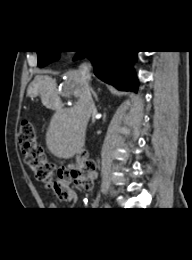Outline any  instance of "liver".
<instances>
[{
	"mask_svg": "<svg viewBox=\"0 0 192 260\" xmlns=\"http://www.w3.org/2000/svg\"><path fill=\"white\" fill-rule=\"evenodd\" d=\"M63 77H66V82L62 93L79 98L72 108L61 107L56 82L48 75H36L29 85L27 95L36 97L41 94L44 101L56 103V111L46 132V145L54 156L69 159L83 151L92 109L80 71H68L63 74Z\"/></svg>",
	"mask_w": 192,
	"mask_h": 260,
	"instance_id": "1",
	"label": "liver"
}]
</instances>
